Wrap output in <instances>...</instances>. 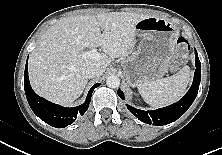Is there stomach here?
<instances>
[{"label": "stomach", "instance_id": "1", "mask_svg": "<svg viewBox=\"0 0 222 155\" xmlns=\"http://www.w3.org/2000/svg\"><path fill=\"white\" fill-rule=\"evenodd\" d=\"M135 30L141 39L138 50L123 62L126 81L132 87L160 79L168 72L179 37L174 24L153 16L140 20Z\"/></svg>", "mask_w": 222, "mask_h": 155}]
</instances>
